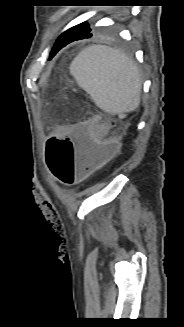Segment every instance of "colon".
Masks as SVG:
<instances>
[{"mask_svg":"<svg viewBox=\"0 0 184 327\" xmlns=\"http://www.w3.org/2000/svg\"><path fill=\"white\" fill-rule=\"evenodd\" d=\"M117 121L93 119L73 126L71 134L52 137L46 145V162L66 186H74L104 167L118 151L112 139Z\"/></svg>","mask_w":184,"mask_h":327,"instance_id":"obj_1","label":"colon"}]
</instances>
